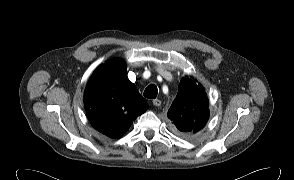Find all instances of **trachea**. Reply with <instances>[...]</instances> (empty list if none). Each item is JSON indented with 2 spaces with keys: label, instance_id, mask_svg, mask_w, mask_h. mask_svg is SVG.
<instances>
[{
  "label": "trachea",
  "instance_id": "3493384b",
  "mask_svg": "<svg viewBox=\"0 0 294 180\" xmlns=\"http://www.w3.org/2000/svg\"><path fill=\"white\" fill-rule=\"evenodd\" d=\"M158 93V89L156 85L151 84L149 85L145 91H144V96L150 99L156 98Z\"/></svg>",
  "mask_w": 294,
  "mask_h": 180
}]
</instances>
